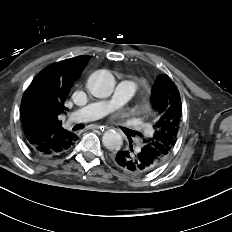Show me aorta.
<instances>
[{
  "mask_svg": "<svg viewBox=\"0 0 232 232\" xmlns=\"http://www.w3.org/2000/svg\"><path fill=\"white\" fill-rule=\"evenodd\" d=\"M88 89L97 98L109 97L114 88V77L106 70L93 73L88 80ZM102 143L108 150L114 151L121 147L123 141L121 135L115 130H108L102 137Z\"/></svg>",
  "mask_w": 232,
  "mask_h": 232,
  "instance_id": "762f6f07",
  "label": "aorta"
}]
</instances>
